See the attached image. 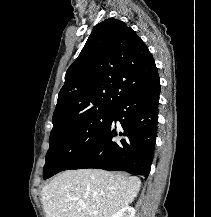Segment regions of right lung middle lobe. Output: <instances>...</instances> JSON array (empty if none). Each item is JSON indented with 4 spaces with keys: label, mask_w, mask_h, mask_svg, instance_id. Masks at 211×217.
Returning <instances> with one entry per match:
<instances>
[{
    "label": "right lung middle lobe",
    "mask_w": 211,
    "mask_h": 217,
    "mask_svg": "<svg viewBox=\"0 0 211 217\" xmlns=\"http://www.w3.org/2000/svg\"><path fill=\"white\" fill-rule=\"evenodd\" d=\"M113 116V109L96 110L54 127L49 138L43 178L67 170L86 155L104 136Z\"/></svg>",
    "instance_id": "dd1d6c3e"
}]
</instances>
